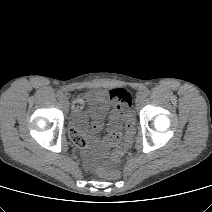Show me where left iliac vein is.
<instances>
[{
    "label": "left iliac vein",
    "mask_w": 212,
    "mask_h": 212,
    "mask_svg": "<svg viewBox=\"0 0 212 212\" xmlns=\"http://www.w3.org/2000/svg\"><path fill=\"white\" fill-rule=\"evenodd\" d=\"M144 101H145V96H144V94L143 93H139L138 95H137V97H136V107L137 108H140L142 105H143V103H144Z\"/></svg>",
    "instance_id": "obj_1"
}]
</instances>
